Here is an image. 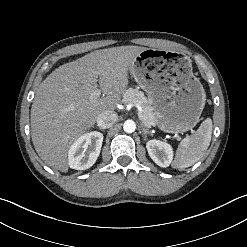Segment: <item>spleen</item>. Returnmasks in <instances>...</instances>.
Instances as JSON below:
<instances>
[{"mask_svg":"<svg viewBox=\"0 0 247 247\" xmlns=\"http://www.w3.org/2000/svg\"><path fill=\"white\" fill-rule=\"evenodd\" d=\"M212 135V120L205 119L196 133L184 138L176 150L172 167L182 170L199 161L208 149Z\"/></svg>","mask_w":247,"mask_h":247,"instance_id":"3e777b00","label":"spleen"}]
</instances>
